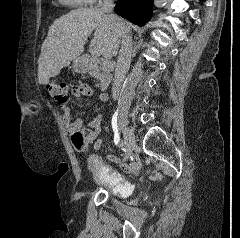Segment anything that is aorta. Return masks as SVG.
I'll return each mask as SVG.
<instances>
[{"mask_svg":"<svg viewBox=\"0 0 240 238\" xmlns=\"http://www.w3.org/2000/svg\"><path fill=\"white\" fill-rule=\"evenodd\" d=\"M166 0H155L154 4L156 6H162V4L165 2Z\"/></svg>","mask_w":240,"mask_h":238,"instance_id":"obj_1","label":"aorta"}]
</instances>
